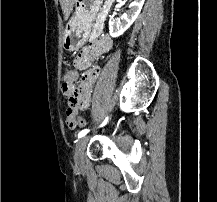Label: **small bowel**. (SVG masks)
<instances>
[{
    "label": "small bowel",
    "mask_w": 217,
    "mask_h": 202,
    "mask_svg": "<svg viewBox=\"0 0 217 202\" xmlns=\"http://www.w3.org/2000/svg\"><path fill=\"white\" fill-rule=\"evenodd\" d=\"M113 41L109 35H101L86 47L83 48L74 59V66L77 69H83L86 67L89 58H98L109 52L112 48ZM100 67H93L87 69L85 75L83 76L81 86L84 89V95H90V89L100 74ZM86 106H94V101H86ZM66 116H78L76 114H66Z\"/></svg>",
    "instance_id": "1"
}]
</instances>
